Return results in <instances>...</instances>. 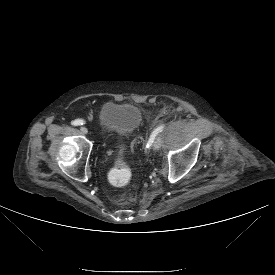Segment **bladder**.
<instances>
[{
    "mask_svg": "<svg viewBox=\"0 0 275 275\" xmlns=\"http://www.w3.org/2000/svg\"><path fill=\"white\" fill-rule=\"evenodd\" d=\"M98 123L105 138H125L133 134L142 124L141 109L128 102L109 101L102 105Z\"/></svg>",
    "mask_w": 275,
    "mask_h": 275,
    "instance_id": "1",
    "label": "bladder"
}]
</instances>
